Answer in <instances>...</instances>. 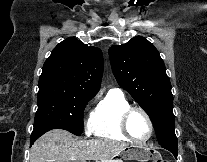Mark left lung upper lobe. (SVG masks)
Instances as JSON below:
<instances>
[{"mask_svg":"<svg viewBox=\"0 0 207 162\" xmlns=\"http://www.w3.org/2000/svg\"><path fill=\"white\" fill-rule=\"evenodd\" d=\"M109 56L117 82L149 115L159 143L177 139L171 84L153 44L135 36L126 44L112 46Z\"/></svg>","mask_w":207,"mask_h":162,"instance_id":"obj_1","label":"left lung upper lobe"}]
</instances>
